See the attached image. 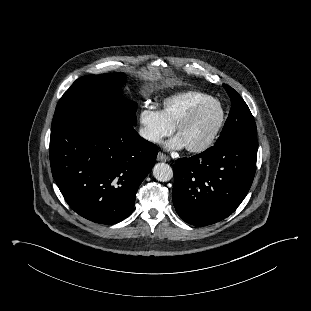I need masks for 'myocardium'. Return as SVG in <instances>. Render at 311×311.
<instances>
[{
    "instance_id": "obj_1",
    "label": "myocardium",
    "mask_w": 311,
    "mask_h": 311,
    "mask_svg": "<svg viewBox=\"0 0 311 311\" xmlns=\"http://www.w3.org/2000/svg\"><path fill=\"white\" fill-rule=\"evenodd\" d=\"M211 104H215L218 107L217 121L210 135L204 142L195 146H186V149L189 152L201 153L209 149L214 144L225 122V110L223 105L219 100L215 98L203 101L200 104L196 105L194 108H192L187 114H185L175 126L176 133L179 134L180 131L190 122H192L202 110H204L207 106Z\"/></svg>"
}]
</instances>
